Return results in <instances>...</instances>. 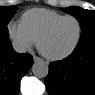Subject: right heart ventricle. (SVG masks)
Returning a JSON list of instances; mask_svg holds the SVG:
<instances>
[{"instance_id":"e07e8e85","label":"right heart ventricle","mask_w":95,"mask_h":95,"mask_svg":"<svg viewBox=\"0 0 95 95\" xmlns=\"http://www.w3.org/2000/svg\"><path fill=\"white\" fill-rule=\"evenodd\" d=\"M64 15L45 8H33L26 11L21 17V25L31 38L37 42L40 34L53 22Z\"/></svg>"}]
</instances>
